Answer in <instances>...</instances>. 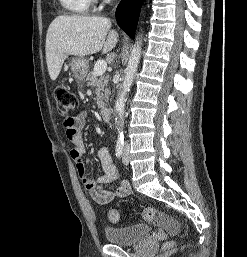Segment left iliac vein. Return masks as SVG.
Segmentation results:
<instances>
[{
    "instance_id": "left-iliac-vein-1",
    "label": "left iliac vein",
    "mask_w": 247,
    "mask_h": 257,
    "mask_svg": "<svg viewBox=\"0 0 247 257\" xmlns=\"http://www.w3.org/2000/svg\"><path fill=\"white\" fill-rule=\"evenodd\" d=\"M122 163L124 165H128L129 163V151L128 148H125L123 156H122Z\"/></svg>"
}]
</instances>
